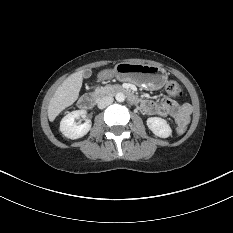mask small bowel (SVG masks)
Here are the masks:
<instances>
[{
  "instance_id": "small-bowel-1",
  "label": "small bowel",
  "mask_w": 233,
  "mask_h": 233,
  "mask_svg": "<svg viewBox=\"0 0 233 233\" xmlns=\"http://www.w3.org/2000/svg\"><path fill=\"white\" fill-rule=\"evenodd\" d=\"M141 105L149 115L174 119L177 127H186L191 114V106L188 103L178 104L167 98H162L158 102L143 100Z\"/></svg>"
}]
</instances>
